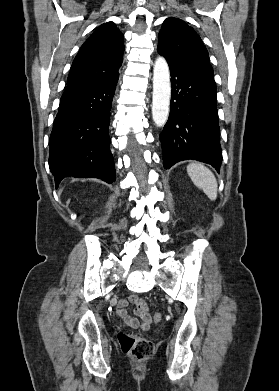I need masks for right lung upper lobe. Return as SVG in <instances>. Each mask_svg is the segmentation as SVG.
Listing matches in <instances>:
<instances>
[{
	"instance_id": "right-lung-upper-lobe-1",
	"label": "right lung upper lobe",
	"mask_w": 279,
	"mask_h": 391,
	"mask_svg": "<svg viewBox=\"0 0 279 391\" xmlns=\"http://www.w3.org/2000/svg\"><path fill=\"white\" fill-rule=\"evenodd\" d=\"M123 38L113 22L99 26L76 55L65 92L96 85L119 74L125 49Z\"/></svg>"
}]
</instances>
